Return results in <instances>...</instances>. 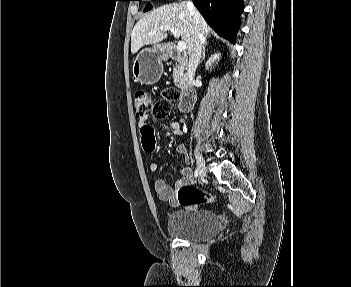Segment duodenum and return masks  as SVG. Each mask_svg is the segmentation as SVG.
Wrapping results in <instances>:
<instances>
[{
    "mask_svg": "<svg viewBox=\"0 0 351 287\" xmlns=\"http://www.w3.org/2000/svg\"><path fill=\"white\" fill-rule=\"evenodd\" d=\"M160 54L165 58H180L183 61V63H186L187 61L186 58L180 57L177 51V47L174 43H170L166 45L163 49L160 50ZM195 99H196L195 87L191 83L187 84L184 87L183 97L178 104V109L181 112L189 111L192 105L194 104Z\"/></svg>",
    "mask_w": 351,
    "mask_h": 287,
    "instance_id": "410a0bca",
    "label": "duodenum"
}]
</instances>
